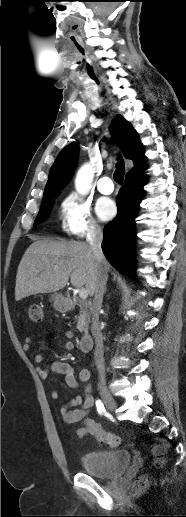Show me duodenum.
I'll use <instances>...</instances> for the list:
<instances>
[{"mask_svg":"<svg viewBox=\"0 0 186 517\" xmlns=\"http://www.w3.org/2000/svg\"><path fill=\"white\" fill-rule=\"evenodd\" d=\"M65 302H66V307L71 310L72 309V305L71 303L68 301V299H64ZM79 345H80V349L83 351V352H89L91 351L92 349V346H93V337L92 335L89 333V332H85L81 338H80V341H79Z\"/></svg>","mask_w":186,"mask_h":517,"instance_id":"410a0bca","label":"duodenum"}]
</instances>
